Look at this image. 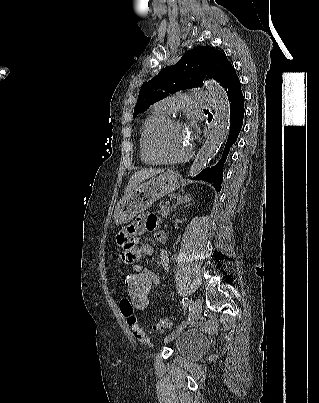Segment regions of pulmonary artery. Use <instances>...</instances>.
<instances>
[{
	"instance_id": "e3ab8cb5",
	"label": "pulmonary artery",
	"mask_w": 319,
	"mask_h": 403,
	"mask_svg": "<svg viewBox=\"0 0 319 403\" xmlns=\"http://www.w3.org/2000/svg\"><path fill=\"white\" fill-rule=\"evenodd\" d=\"M193 102L196 106L202 108H209L214 106V99L212 95L206 91H196L193 94ZM191 100L183 95L169 96L156 104V108L165 112L166 114L178 111L181 108L188 107Z\"/></svg>"
}]
</instances>
